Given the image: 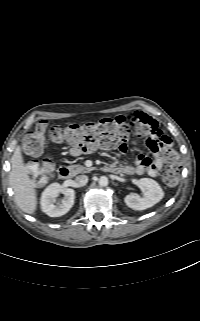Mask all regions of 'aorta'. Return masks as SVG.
Masks as SVG:
<instances>
[{
    "label": "aorta",
    "mask_w": 200,
    "mask_h": 321,
    "mask_svg": "<svg viewBox=\"0 0 200 321\" xmlns=\"http://www.w3.org/2000/svg\"><path fill=\"white\" fill-rule=\"evenodd\" d=\"M98 183L100 186L105 187L108 185L109 181L108 178L106 176H101L98 180Z\"/></svg>",
    "instance_id": "762f6f07"
}]
</instances>
